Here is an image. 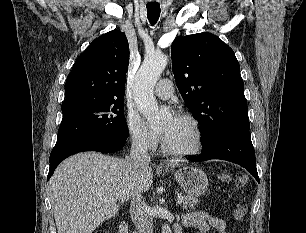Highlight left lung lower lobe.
<instances>
[{"mask_svg": "<svg viewBox=\"0 0 306 233\" xmlns=\"http://www.w3.org/2000/svg\"><path fill=\"white\" fill-rule=\"evenodd\" d=\"M202 146V153L198 156L188 157L190 161L227 160L244 167L259 182L255 153L249 131L223 133Z\"/></svg>", "mask_w": 306, "mask_h": 233, "instance_id": "obj_1", "label": "left lung lower lobe"}]
</instances>
